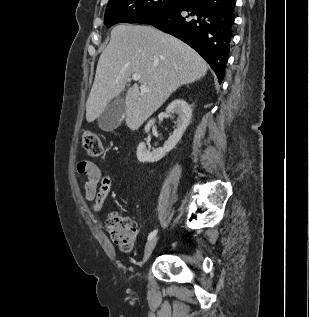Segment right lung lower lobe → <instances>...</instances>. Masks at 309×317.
<instances>
[{"instance_id": "98d812e1", "label": "right lung lower lobe", "mask_w": 309, "mask_h": 317, "mask_svg": "<svg viewBox=\"0 0 309 317\" xmlns=\"http://www.w3.org/2000/svg\"><path fill=\"white\" fill-rule=\"evenodd\" d=\"M234 7L235 0H187L135 23L153 25L190 45L210 64L221 83L230 51Z\"/></svg>"}]
</instances>
